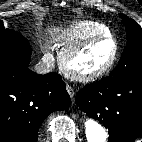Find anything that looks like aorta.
Returning <instances> with one entry per match:
<instances>
[{
    "label": "aorta",
    "instance_id": "1",
    "mask_svg": "<svg viewBox=\"0 0 142 142\" xmlns=\"http://www.w3.org/2000/svg\"><path fill=\"white\" fill-rule=\"evenodd\" d=\"M85 132L88 142H106L108 137L106 130L93 118H86Z\"/></svg>",
    "mask_w": 142,
    "mask_h": 142
}]
</instances>
